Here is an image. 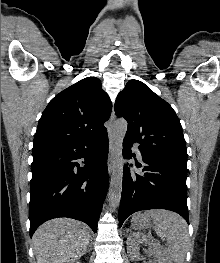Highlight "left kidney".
I'll return each mask as SVG.
<instances>
[{
  "label": "left kidney",
  "mask_w": 220,
  "mask_h": 263,
  "mask_svg": "<svg viewBox=\"0 0 220 263\" xmlns=\"http://www.w3.org/2000/svg\"><path fill=\"white\" fill-rule=\"evenodd\" d=\"M140 244H147L149 251L154 255L157 263H172L162 246L150 236L133 232L127 239V253L132 260L140 258Z\"/></svg>",
  "instance_id": "left-kidney-1"
}]
</instances>
